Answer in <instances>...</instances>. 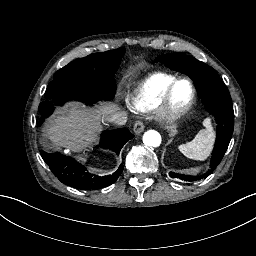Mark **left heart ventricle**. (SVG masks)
I'll return each mask as SVG.
<instances>
[{
	"mask_svg": "<svg viewBox=\"0 0 256 256\" xmlns=\"http://www.w3.org/2000/svg\"><path fill=\"white\" fill-rule=\"evenodd\" d=\"M191 98V90L190 87L187 83L183 82L180 83L173 95L172 98V105L176 108H182L184 107ZM144 112H149L152 110V104L149 101H144V107H143Z\"/></svg>",
	"mask_w": 256,
	"mask_h": 256,
	"instance_id": "1",
	"label": "left heart ventricle"
}]
</instances>
